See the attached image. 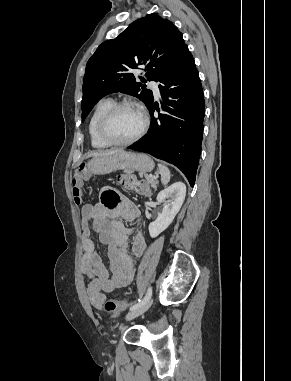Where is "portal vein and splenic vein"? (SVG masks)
Returning <instances> with one entry per match:
<instances>
[{"label": "portal vein and splenic vein", "mask_w": 291, "mask_h": 381, "mask_svg": "<svg viewBox=\"0 0 291 381\" xmlns=\"http://www.w3.org/2000/svg\"><path fill=\"white\" fill-rule=\"evenodd\" d=\"M149 177H151V178H156L154 175H152V174H149Z\"/></svg>", "instance_id": "portal-vein-and-splenic-vein-1"}]
</instances>
